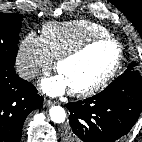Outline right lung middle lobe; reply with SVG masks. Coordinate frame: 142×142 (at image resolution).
I'll return each mask as SVG.
<instances>
[{
	"mask_svg": "<svg viewBox=\"0 0 142 142\" xmlns=\"http://www.w3.org/2000/svg\"><path fill=\"white\" fill-rule=\"evenodd\" d=\"M21 21L20 14L0 12V68L14 69Z\"/></svg>",
	"mask_w": 142,
	"mask_h": 142,
	"instance_id": "obj_1",
	"label": "right lung middle lobe"
}]
</instances>
